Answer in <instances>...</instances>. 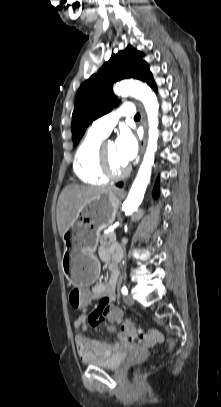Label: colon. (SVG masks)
I'll return each instance as SVG.
<instances>
[{
    "label": "colon",
    "instance_id": "1",
    "mask_svg": "<svg viewBox=\"0 0 221 407\" xmlns=\"http://www.w3.org/2000/svg\"><path fill=\"white\" fill-rule=\"evenodd\" d=\"M90 290V283H75L74 286L69 287V303L74 311L87 310L91 298ZM122 310L121 305H110L105 314L112 322H118V327L124 330V333L127 334L130 340L139 339L146 346H154L164 341L162 334L155 329L148 330L145 333L132 329L133 323L130 320H125ZM134 325L137 327L139 324L136 322ZM173 348L174 342L169 339L168 350L171 351Z\"/></svg>",
    "mask_w": 221,
    "mask_h": 407
}]
</instances>
